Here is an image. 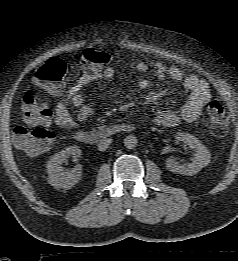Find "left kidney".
Returning a JSON list of instances; mask_svg holds the SVG:
<instances>
[{
  "label": "left kidney",
  "mask_w": 238,
  "mask_h": 261,
  "mask_svg": "<svg viewBox=\"0 0 238 261\" xmlns=\"http://www.w3.org/2000/svg\"><path fill=\"white\" fill-rule=\"evenodd\" d=\"M177 141L185 142L189 148L195 150V156L189 164H179L175 158L170 157L166 160V168L181 175H194L210 163V152L207 148L193 135L185 132L177 133Z\"/></svg>",
  "instance_id": "1"
}]
</instances>
